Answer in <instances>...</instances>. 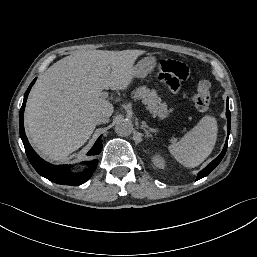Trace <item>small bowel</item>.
I'll use <instances>...</instances> for the list:
<instances>
[{
  "label": "small bowel",
  "instance_id": "1",
  "mask_svg": "<svg viewBox=\"0 0 257 257\" xmlns=\"http://www.w3.org/2000/svg\"><path fill=\"white\" fill-rule=\"evenodd\" d=\"M153 77L165 96L175 98L184 92L191 79V70L182 61L162 59L155 64Z\"/></svg>",
  "mask_w": 257,
  "mask_h": 257
}]
</instances>
